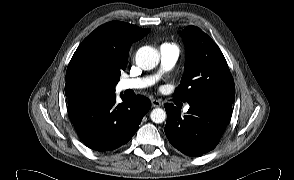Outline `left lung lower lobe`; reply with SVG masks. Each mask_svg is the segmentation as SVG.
Masks as SVG:
<instances>
[{
  "label": "left lung lower lobe",
  "instance_id": "1",
  "mask_svg": "<svg viewBox=\"0 0 294 180\" xmlns=\"http://www.w3.org/2000/svg\"><path fill=\"white\" fill-rule=\"evenodd\" d=\"M187 115L179 108L165 104L167 122L164 128L169 142L182 153L201 156L214 149L225 131L232 112V104L193 101L188 102Z\"/></svg>",
  "mask_w": 294,
  "mask_h": 180
}]
</instances>
